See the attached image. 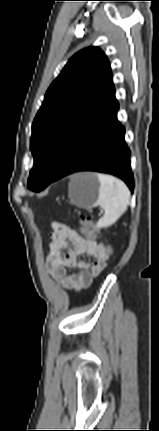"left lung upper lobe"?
I'll return each mask as SVG.
<instances>
[{
    "instance_id": "left-lung-upper-lobe-1",
    "label": "left lung upper lobe",
    "mask_w": 159,
    "mask_h": 431,
    "mask_svg": "<svg viewBox=\"0 0 159 431\" xmlns=\"http://www.w3.org/2000/svg\"><path fill=\"white\" fill-rule=\"evenodd\" d=\"M115 100L110 63L97 47L76 53L48 88L32 125L28 187H47L76 134Z\"/></svg>"
}]
</instances>
